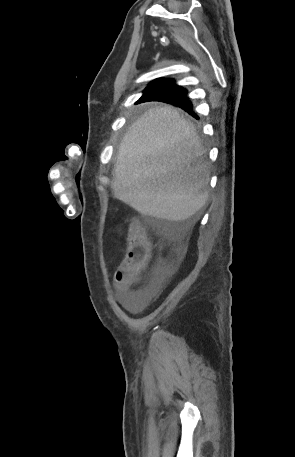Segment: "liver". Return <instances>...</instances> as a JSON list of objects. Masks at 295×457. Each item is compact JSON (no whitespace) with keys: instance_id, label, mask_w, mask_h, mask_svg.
Instances as JSON below:
<instances>
[{"instance_id":"liver-1","label":"liver","mask_w":295,"mask_h":457,"mask_svg":"<svg viewBox=\"0 0 295 457\" xmlns=\"http://www.w3.org/2000/svg\"><path fill=\"white\" fill-rule=\"evenodd\" d=\"M194 125L170 105L146 111L120 146L111 187L143 215L181 222L208 199L209 168Z\"/></svg>"}]
</instances>
